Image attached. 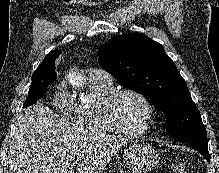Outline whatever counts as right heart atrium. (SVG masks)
Masks as SVG:
<instances>
[{
	"mask_svg": "<svg viewBox=\"0 0 219 173\" xmlns=\"http://www.w3.org/2000/svg\"><path fill=\"white\" fill-rule=\"evenodd\" d=\"M53 104L64 114L74 115L75 104L64 82H60L56 86L53 93Z\"/></svg>",
	"mask_w": 219,
	"mask_h": 173,
	"instance_id": "obj_1",
	"label": "right heart atrium"
}]
</instances>
